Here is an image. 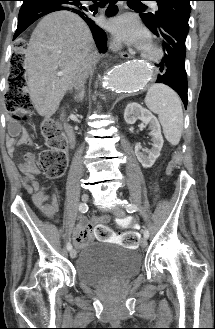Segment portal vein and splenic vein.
I'll use <instances>...</instances> for the list:
<instances>
[{
  "instance_id": "obj_1",
  "label": "portal vein and splenic vein",
  "mask_w": 215,
  "mask_h": 329,
  "mask_svg": "<svg viewBox=\"0 0 215 329\" xmlns=\"http://www.w3.org/2000/svg\"><path fill=\"white\" fill-rule=\"evenodd\" d=\"M61 75H63V72H59V73H58V76H61Z\"/></svg>"
}]
</instances>
